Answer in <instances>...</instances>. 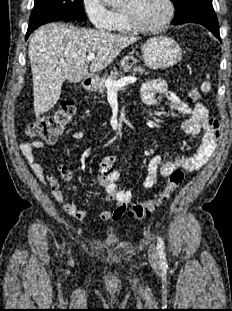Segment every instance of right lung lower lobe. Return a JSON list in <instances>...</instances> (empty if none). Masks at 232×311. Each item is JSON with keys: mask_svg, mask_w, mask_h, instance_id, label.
<instances>
[{"mask_svg": "<svg viewBox=\"0 0 232 311\" xmlns=\"http://www.w3.org/2000/svg\"><path fill=\"white\" fill-rule=\"evenodd\" d=\"M60 20H77V19L69 17V16H52V17L43 18L41 20H37L33 23H29L27 34H26V39L39 26L45 23H48V22L60 21Z\"/></svg>", "mask_w": 232, "mask_h": 311, "instance_id": "obj_1", "label": "right lung lower lobe"}]
</instances>
